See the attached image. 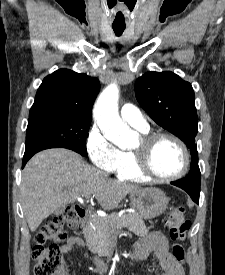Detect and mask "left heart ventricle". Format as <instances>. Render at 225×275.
Returning a JSON list of instances; mask_svg holds the SVG:
<instances>
[{
    "label": "left heart ventricle",
    "mask_w": 225,
    "mask_h": 275,
    "mask_svg": "<svg viewBox=\"0 0 225 275\" xmlns=\"http://www.w3.org/2000/svg\"><path fill=\"white\" fill-rule=\"evenodd\" d=\"M142 145L141 141L136 149ZM183 154L179 146L171 140H161L153 148L150 164L155 173L168 176L180 171L183 166Z\"/></svg>",
    "instance_id": "obj_1"
}]
</instances>
